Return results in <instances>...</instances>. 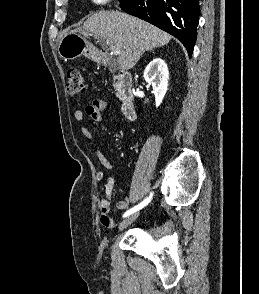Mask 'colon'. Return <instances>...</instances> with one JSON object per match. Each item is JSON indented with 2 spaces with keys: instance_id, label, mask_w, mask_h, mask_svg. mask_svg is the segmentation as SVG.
I'll list each match as a JSON object with an SVG mask.
<instances>
[{
  "instance_id": "5ec220e1",
  "label": "colon",
  "mask_w": 259,
  "mask_h": 294,
  "mask_svg": "<svg viewBox=\"0 0 259 294\" xmlns=\"http://www.w3.org/2000/svg\"><path fill=\"white\" fill-rule=\"evenodd\" d=\"M85 81L77 68H70L66 75V88L71 96H79L85 90Z\"/></svg>"
}]
</instances>
